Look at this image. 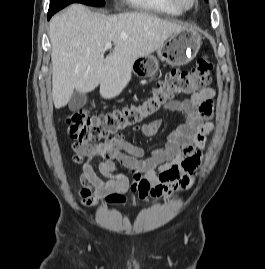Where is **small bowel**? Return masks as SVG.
Wrapping results in <instances>:
<instances>
[{
  "label": "small bowel",
  "mask_w": 265,
  "mask_h": 269,
  "mask_svg": "<svg viewBox=\"0 0 265 269\" xmlns=\"http://www.w3.org/2000/svg\"><path fill=\"white\" fill-rule=\"evenodd\" d=\"M213 88H205L190 98L172 100L166 109L176 114L180 123L168 135L167 142L152 149L148 156L145 149L128 142L123 134L100 143L72 142L73 159L82 163L78 191L85 206L99 203L119 205L125 202L124 194L137 192L145 198L150 187L163 191H184L195 181V174L205 149L206 135L211 132L209 121L213 112ZM164 118L157 117L134 130L145 137H152L163 127ZM101 157L98 176L91 160ZM117 163L124 167L133 180L123 173Z\"/></svg>",
  "instance_id": "obj_1"
}]
</instances>
